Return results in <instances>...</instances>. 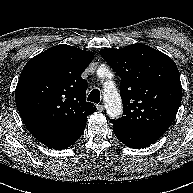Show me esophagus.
<instances>
[{"label":"esophagus","mask_w":193,"mask_h":193,"mask_svg":"<svg viewBox=\"0 0 193 193\" xmlns=\"http://www.w3.org/2000/svg\"><path fill=\"white\" fill-rule=\"evenodd\" d=\"M97 110L99 111V112H102L103 110H104V105L101 103V104H98L97 105Z\"/></svg>","instance_id":"obj_1"}]
</instances>
